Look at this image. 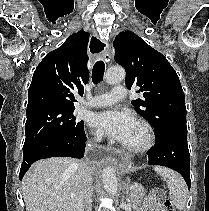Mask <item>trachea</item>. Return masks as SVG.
Here are the masks:
<instances>
[{
  "label": "trachea",
  "instance_id": "3493384b",
  "mask_svg": "<svg viewBox=\"0 0 209 211\" xmlns=\"http://www.w3.org/2000/svg\"><path fill=\"white\" fill-rule=\"evenodd\" d=\"M104 70H105L104 62L102 60L97 61L94 65L93 71H92V82L95 85L98 84L102 80Z\"/></svg>",
  "mask_w": 209,
  "mask_h": 211
}]
</instances>
